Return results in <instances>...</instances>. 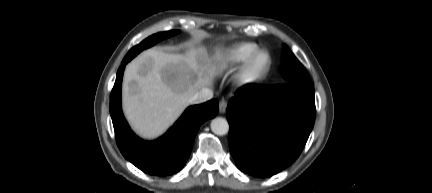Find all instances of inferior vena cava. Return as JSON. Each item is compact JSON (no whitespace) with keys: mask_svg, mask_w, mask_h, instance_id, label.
Masks as SVG:
<instances>
[{"mask_svg":"<svg viewBox=\"0 0 432 193\" xmlns=\"http://www.w3.org/2000/svg\"><path fill=\"white\" fill-rule=\"evenodd\" d=\"M212 97H213V91L209 88H203L189 98V103L200 104L212 99Z\"/></svg>","mask_w":432,"mask_h":193,"instance_id":"1","label":"inferior vena cava"}]
</instances>
